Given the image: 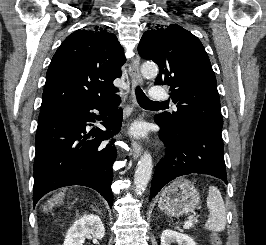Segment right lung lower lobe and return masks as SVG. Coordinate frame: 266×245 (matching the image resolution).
<instances>
[{
    "label": "right lung lower lobe",
    "instance_id": "obj_1",
    "mask_svg": "<svg viewBox=\"0 0 266 245\" xmlns=\"http://www.w3.org/2000/svg\"><path fill=\"white\" fill-rule=\"evenodd\" d=\"M117 95L75 105L38 122L35 138L33 207L39 199L57 188L83 185L97 190L113 204L112 164L116 158L113 143L102 142L117 133L122 124V109H115ZM105 116L102 125L89 133L88 122ZM89 137H95L91 139Z\"/></svg>",
    "mask_w": 266,
    "mask_h": 245
}]
</instances>
